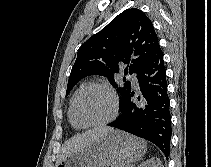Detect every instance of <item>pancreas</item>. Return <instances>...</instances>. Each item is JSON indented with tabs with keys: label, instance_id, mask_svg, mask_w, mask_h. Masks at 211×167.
Returning <instances> with one entry per match:
<instances>
[{
	"label": "pancreas",
	"instance_id": "cf45deb5",
	"mask_svg": "<svg viewBox=\"0 0 211 167\" xmlns=\"http://www.w3.org/2000/svg\"><path fill=\"white\" fill-rule=\"evenodd\" d=\"M111 167H120V166L112 165Z\"/></svg>",
	"mask_w": 211,
	"mask_h": 167
}]
</instances>
